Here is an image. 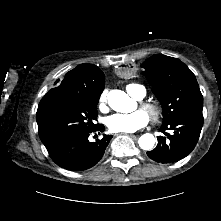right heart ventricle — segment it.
<instances>
[{"label": "right heart ventricle", "mask_w": 221, "mask_h": 221, "mask_svg": "<svg viewBox=\"0 0 221 221\" xmlns=\"http://www.w3.org/2000/svg\"><path fill=\"white\" fill-rule=\"evenodd\" d=\"M133 86H135V84H129L127 85V91L135 98H137L135 92L133 91ZM146 94V93H145ZM145 96V95H144Z\"/></svg>", "instance_id": "1"}]
</instances>
